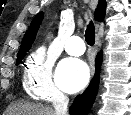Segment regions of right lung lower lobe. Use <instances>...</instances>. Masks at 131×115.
I'll return each instance as SVG.
<instances>
[{"mask_svg": "<svg viewBox=\"0 0 131 115\" xmlns=\"http://www.w3.org/2000/svg\"><path fill=\"white\" fill-rule=\"evenodd\" d=\"M102 62V54L99 52L96 58V73L95 76L86 89V91L75 98L73 105L70 107L71 115H86L91 108L96 97L99 84V70Z\"/></svg>", "mask_w": 131, "mask_h": 115, "instance_id": "1", "label": "right lung lower lobe"}]
</instances>
